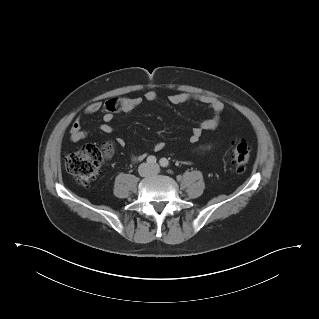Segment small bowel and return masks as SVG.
Masks as SVG:
<instances>
[{"instance_id": "small-bowel-1", "label": "small bowel", "mask_w": 319, "mask_h": 319, "mask_svg": "<svg viewBox=\"0 0 319 319\" xmlns=\"http://www.w3.org/2000/svg\"><path fill=\"white\" fill-rule=\"evenodd\" d=\"M158 98V94L154 90H148L144 93L143 97L135 96V97H124L117 98L118 104H109L110 99L105 103L96 101L89 104L84 114L87 116L94 115L97 113H102L103 123L100 125L99 129L102 133L109 134L113 131L112 122L115 118V114L117 113H129L136 107H138L143 100L147 102H153ZM169 100L173 104H184L187 102H198L208 106L212 110V116L203 120L198 126L192 129L190 135V141L192 143H197L205 130H214L220 123L221 115L224 111L225 105L224 103L210 95H191L187 93H174L169 96ZM89 130H86L82 127V119L80 117L76 118L69 130L70 140L73 142H78L85 139L89 135ZM116 143L123 147L126 142L122 137H118L116 139ZM164 147L163 142H157L155 144V149L160 150ZM208 146H204L201 149L205 150ZM145 154H131V160L133 162H139L143 160Z\"/></svg>"}]
</instances>
